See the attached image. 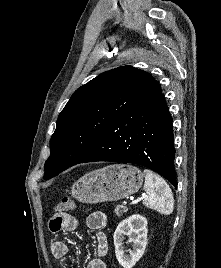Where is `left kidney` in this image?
<instances>
[{"label":"left kidney","instance_id":"obj_1","mask_svg":"<svg viewBox=\"0 0 221 268\" xmlns=\"http://www.w3.org/2000/svg\"><path fill=\"white\" fill-rule=\"evenodd\" d=\"M147 219L141 215H132L117 226L113 239L115 254L119 264L124 268H132L144 254L147 245ZM129 237L133 250L129 255L124 251V236Z\"/></svg>","mask_w":221,"mask_h":268}]
</instances>
